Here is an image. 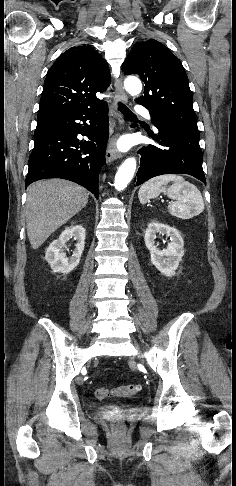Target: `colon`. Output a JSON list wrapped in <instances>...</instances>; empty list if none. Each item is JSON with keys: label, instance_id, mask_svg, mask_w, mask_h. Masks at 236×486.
<instances>
[{"label": "colon", "instance_id": "1", "mask_svg": "<svg viewBox=\"0 0 236 486\" xmlns=\"http://www.w3.org/2000/svg\"><path fill=\"white\" fill-rule=\"evenodd\" d=\"M141 389L142 386L139 384L121 385L113 388L101 387L95 391V396L99 400H104L109 396L128 398L138 394ZM113 427L116 431L122 429V424L119 419H114Z\"/></svg>", "mask_w": 236, "mask_h": 486}]
</instances>
